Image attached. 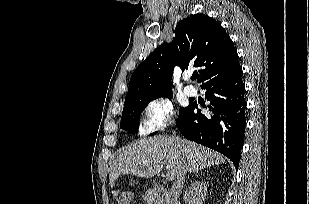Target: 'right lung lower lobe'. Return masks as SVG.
Wrapping results in <instances>:
<instances>
[{"instance_id":"right-lung-lower-lobe-1","label":"right lung lower lobe","mask_w":309,"mask_h":204,"mask_svg":"<svg viewBox=\"0 0 309 204\" xmlns=\"http://www.w3.org/2000/svg\"><path fill=\"white\" fill-rule=\"evenodd\" d=\"M210 101L209 114H202L197 104H190L177 123L181 134L228 157L238 167L246 126L245 86L242 68L216 77L204 85Z\"/></svg>"}]
</instances>
